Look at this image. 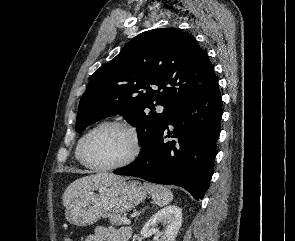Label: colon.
<instances>
[{
    "instance_id": "5ec220e1",
    "label": "colon",
    "mask_w": 295,
    "mask_h": 241,
    "mask_svg": "<svg viewBox=\"0 0 295 241\" xmlns=\"http://www.w3.org/2000/svg\"><path fill=\"white\" fill-rule=\"evenodd\" d=\"M64 241H72L71 239H66V240H64Z\"/></svg>"
}]
</instances>
